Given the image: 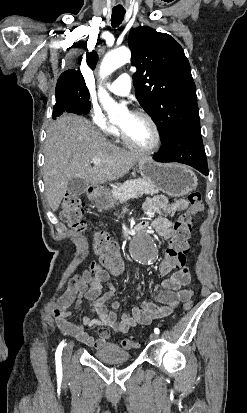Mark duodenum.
<instances>
[{
	"instance_id": "duodenum-1",
	"label": "duodenum",
	"mask_w": 247,
	"mask_h": 413,
	"mask_svg": "<svg viewBox=\"0 0 247 413\" xmlns=\"http://www.w3.org/2000/svg\"><path fill=\"white\" fill-rule=\"evenodd\" d=\"M97 192H98V188L96 186H91L88 191L90 198L95 199L97 197ZM147 226L148 224L145 221H142L134 227V231L140 232L143 229L147 228Z\"/></svg>"
}]
</instances>
